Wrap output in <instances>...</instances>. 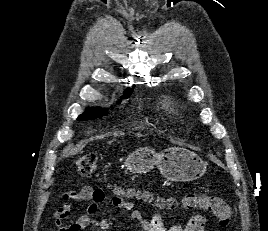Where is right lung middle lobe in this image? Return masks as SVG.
Here are the masks:
<instances>
[{"mask_svg": "<svg viewBox=\"0 0 268 231\" xmlns=\"http://www.w3.org/2000/svg\"><path fill=\"white\" fill-rule=\"evenodd\" d=\"M104 115H107V111L103 112L99 108H88L77 120H93L101 118Z\"/></svg>", "mask_w": 268, "mask_h": 231, "instance_id": "obj_1", "label": "right lung middle lobe"}]
</instances>
